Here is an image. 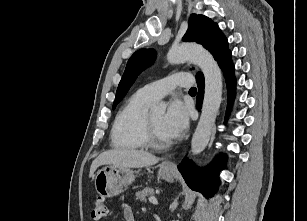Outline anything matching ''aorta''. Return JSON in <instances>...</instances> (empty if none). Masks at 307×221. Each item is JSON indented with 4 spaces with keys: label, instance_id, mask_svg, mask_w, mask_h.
<instances>
[{
    "label": "aorta",
    "instance_id": "762f6f07",
    "mask_svg": "<svg viewBox=\"0 0 307 221\" xmlns=\"http://www.w3.org/2000/svg\"><path fill=\"white\" fill-rule=\"evenodd\" d=\"M170 64L191 61L200 67L205 78V94L200 120L191 140V152L200 154L207 146L216 116L222 100V74L213 56L204 48L197 45H181L172 47L167 53ZM155 109L165 111L163 103Z\"/></svg>",
    "mask_w": 307,
    "mask_h": 221
}]
</instances>
